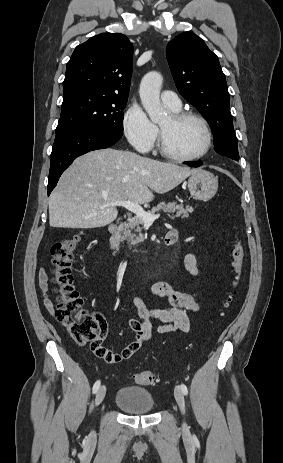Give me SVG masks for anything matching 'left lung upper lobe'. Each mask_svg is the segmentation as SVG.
<instances>
[{
  "mask_svg": "<svg viewBox=\"0 0 283 463\" xmlns=\"http://www.w3.org/2000/svg\"><path fill=\"white\" fill-rule=\"evenodd\" d=\"M166 56L178 91L208 120L215 152L238 161L230 96L218 57L192 32L170 41Z\"/></svg>",
  "mask_w": 283,
  "mask_h": 463,
  "instance_id": "5c2ea615",
  "label": "left lung upper lobe"
}]
</instances>
